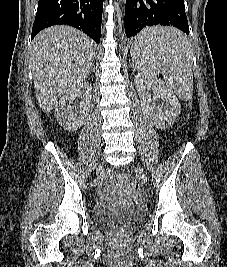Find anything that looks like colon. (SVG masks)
Wrapping results in <instances>:
<instances>
[{
	"label": "colon",
	"instance_id": "1",
	"mask_svg": "<svg viewBox=\"0 0 227 267\" xmlns=\"http://www.w3.org/2000/svg\"><path fill=\"white\" fill-rule=\"evenodd\" d=\"M106 178L108 181L117 182L121 187L130 192H135L139 188L136 178L131 174H125L120 178H116L113 172H109Z\"/></svg>",
	"mask_w": 227,
	"mask_h": 267
}]
</instances>
